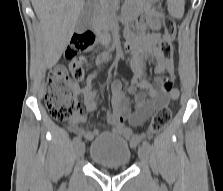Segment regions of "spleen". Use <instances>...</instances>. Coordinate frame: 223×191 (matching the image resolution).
<instances>
[{"label":"spleen","instance_id":"1","mask_svg":"<svg viewBox=\"0 0 223 191\" xmlns=\"http://www.w3.org/2000/svg\"><path fill=\"white\" fill-rule=\"evenodd\" d=\"M184 0H168V9L175 18H182L184 14Z\"/></svg>","mask_w":223,"mask_h":191}]
</instances>
